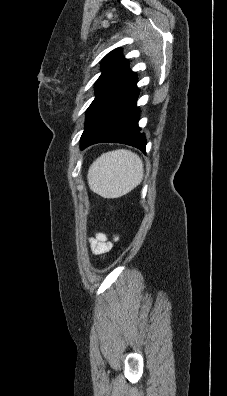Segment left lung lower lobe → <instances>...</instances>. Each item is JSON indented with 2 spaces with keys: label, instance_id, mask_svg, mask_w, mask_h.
Returning <instances> with one entry per match:
<instances>
[{
  "label": "left lung lower lobe",
  "instance_id": "left-lung-lower-lobe-1",
  "mask_svg": "<svg viewBox=\"0 0 227 396\" xmlns=\"http://www.w3.org/2000/svg\"><path fill=\"white\" fill-rule=\"evenodd\" d=\"M134 73L107 94L92 110L80 139V148L99 142L124 143L145 152L146 138L138 127L139 90Z\"/></svg>",
  "mask_w": 227,
  "mask_h": 396
}]
</instances>
